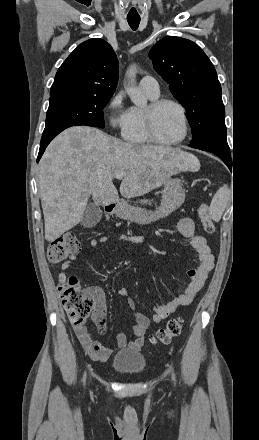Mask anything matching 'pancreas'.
I'll return each mask as SVG.
<instances>
[{
    "label": "pancreas",
    "mask_w": 259,
    "mask_h": 440,
    "mask_svg": "<svg viewBox=\"0 0 259 440\" xmlns=\"http://www.w3.org/2000/svg\"><path fill=\"white\" fill-rule=\"evenodd\" d=\"M140 203H141V204H147V203H148V204H151L150 201H148V200H146V199L141 200Z\"/></svg>",
    "instance_id": "pancreas-1"
}]
</instances>
